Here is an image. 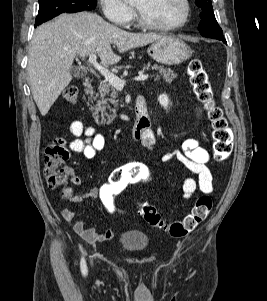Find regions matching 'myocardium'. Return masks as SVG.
Instances as JSON below:
<instances>
[{
    "label": "myocardium",
    "mask_w": 267,
    "mask_h": 301,
    "mask_svg": "<svg viewBox=\"0 0 267 301\" xmlns=\"http://www.w3.org/2000/svg\"><path fill=\"white\" fill-rule=\"evenodd\" d=\"M182 3L184 6V14H183L182 19L177 23L169 24V25L156 24V23L148 20L147 18H145L143 16V14L140 12V10L135 8L138 23L146 29L155 30V31L168 32V31L180 29L188 22L190 15H191V7H190L189 0H182Z\"/></svg>",
    "instance_id": "f54148a6"
}]
</instances>
